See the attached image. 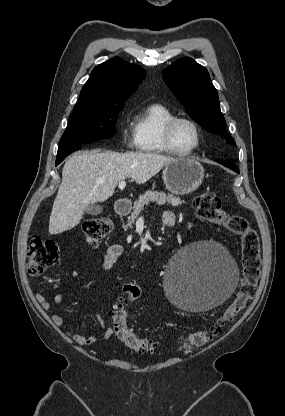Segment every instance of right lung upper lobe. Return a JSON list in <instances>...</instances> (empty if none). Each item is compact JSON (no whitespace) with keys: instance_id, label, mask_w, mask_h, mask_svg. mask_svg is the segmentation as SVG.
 I'll return each instance as SVG.
<instances>
[{"instance_id":"right-lung-upper-lobe-1","label":"right lung upper lobe","mask_w":285,"mask_h":416,"mask_svg":"<svg viewBox=\"0 0 285 416\" xmlns=\"http://www.w3.org/2000/svg\"><path fill=\"white\" fill-rule=\"evenodd\" d=\"M145 70L115 57L95 67L77 104L86 106L125 102L145 77Z\"/></svg>"}]
</instances>
